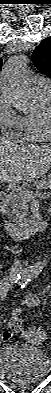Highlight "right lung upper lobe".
Instances as JSON below:
<instances>
[{
    "instance_id": "right-lung-upper-lobe-1",
    "label": "right lung upper lobe",
    "mask_w": 51,
    "mask_h": 393,
    "mask_svg": "<svg viewBox=\"0 0 51 393\" xmlns=\"http://www.w3.org/2000/svg\"><path fill=\"white\" fill-rule=\"evenodd\" d=\"M1 66H2V59L0 58V70H1Z\"/></svg>"
}]
</instances>
